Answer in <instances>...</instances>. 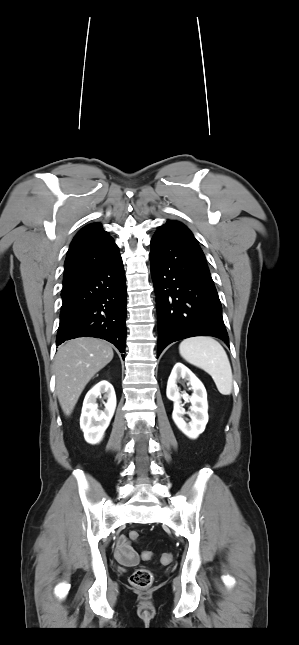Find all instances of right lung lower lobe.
<instances>
[{"label":"right lung lower lobe","instance_id":"right-lung-lower-lobe-1","mask_svg":"<svg viewBox=\"0 0 299 645\" xmlns=\"http://www.w3.org/2000/svg\"><path fill=\"white\" fill-rule=\"evenodd\" d=\"M56 345L77 337H96L126 345V283L120 254L86 269L63 284Z\"/></svg>","mask_w":299,"mask_h":645}]
</instances>
